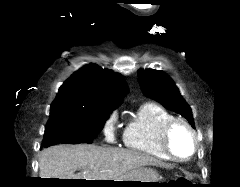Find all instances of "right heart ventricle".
Returning a JSON list of instances; mask_svg holds the SVG:
<instances>
[{
	"instance_id": "1",
	"label": "right heart ventricle",
	"mask_w": 240,
	"mask_h": 187,
	"mask_svg": "<svg viewBox=\"0 0 240 187\" xmlns=\"http://www.w3.org/2000/svg\"><path fill=\"white\" fill-rule=\"evenodd\" d=\"M172 118L173 115L158 104L141 105L123 132L125 147L157 159L171 160L162 147L161 132Z\"/></svg>"
}]
</instances>
